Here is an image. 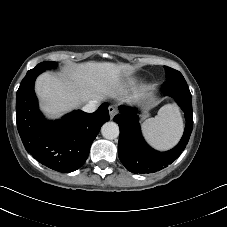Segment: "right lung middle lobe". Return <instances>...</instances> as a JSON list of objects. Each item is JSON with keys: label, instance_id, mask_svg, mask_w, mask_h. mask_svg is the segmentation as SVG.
<instances>
[{"label": "right lung middle lobe", "instance_id": "dd1d6c3e", "mask_svg": "<svg viewBox=\"0 0 227 227\" xmlns=\"http://www.w3.org/2000/svg\"><path fill=\"white\" fill-rule=\"evenodd\" d=\"M56 66V62H53V61H45V62H42L38 65H36L35 68L29 70L30 72H34V71H41L43 72L44 70H47V69H51L53 67Z\"/></svg>", "mask_w": 227, "mask_h": 227}]
</instances>
